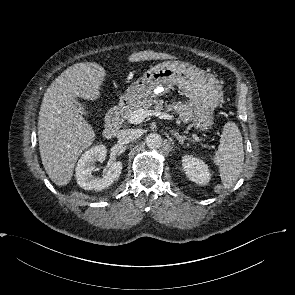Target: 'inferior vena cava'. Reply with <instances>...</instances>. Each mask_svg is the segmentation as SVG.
<instances>
[{"label": "inferior vena cava", "mask_w": 295, "mask_h": 295, "mask_svg": "<svg viewBox=\"0 0 295 295\" xmlns=\"http://www.w3.org/2000/svg\"><path fill=\"white\" fill-rule=\"evenodd\" d=\"M140 136V132L137 129H126L121 130L118 135V141L125 144L130 143L134 140H136Z\"/></svg>", "instance_id": "obj_1"}]
</instances>
